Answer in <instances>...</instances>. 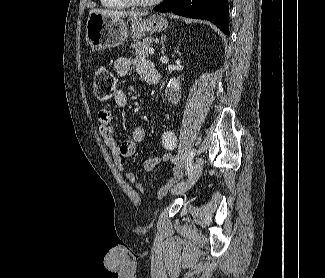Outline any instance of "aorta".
Returning <instances> with one entry per match:
<instances>
[{
  "label": "aorta",
  "instance_id": "1",
  "mask_svg": "<svg viewBox=\"0 0 325 278\" xmlns=\"http://www.w3.org/2000/svg\"><path fill=\"white\" fill-rule=\"evenodd\" d=\"M169 88L173 91H178L180 89V83L176 78H172L169 81Z\"/></svg>",
  "mask_w": 325,
  "mask_h": 278
}]
</instances>
